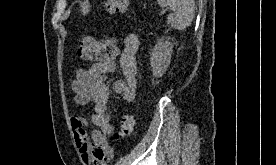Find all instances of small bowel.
<instances>
[{"instance_id":"obj_1","label":"small bowel","mask_w":276,"mask_h":165,"mask_svg":"<svg viewBox=\"0 0 276 165\" xmlns=\"http://www.w3.org/2000/svg\"><path fill=\"white\" fill-rule=\"evenodd\" d=\"M139 40L136 35L128 34L119 55L123 79L112 84L114 93L121 95L126 102H133L137 87L136 54ZM115 60L97 62L86 69H79L71 82L74 102L78 106L92 105L91 121L97 127L89 138L85 131L87 121L80 115L71 117L74 140L83 162L87 165H104L112 157V149L106 137L113 132L109 114L110 90L106 85L107 76L115 72Z\"/></svg>"}]
</instances>
